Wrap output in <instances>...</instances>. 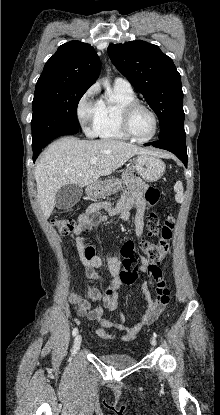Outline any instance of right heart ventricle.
I'll return each mask as SVG.
<instances>
[{
  "mask_svg": "<svg viewBox=\"0 0 220 415\" xmlns=\"http://www.w3.org/2000/svg\"><path fill=\"white\" fill-rule=\"evenodd\" d=\"M134 100L136 96L132 90L113 87L103 99L98 101L99 114L95 134L104 139H127L119 125V113L122 106Z\"/></svg>",
  "mask_w": 220,
  "mask_h": 415,
  "instance_id": "1",
  "label": "right heart ventricle"
}]
</instances>
